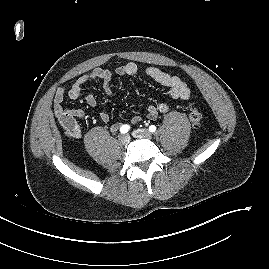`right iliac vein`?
Masks as SVG:
<instances>
[{"mask_svg": "<svg viewBox=\"0 0 269 269\" xmlns=\"http://www.w3.org/2000/svg\"><path fill=\"white\" fill-rule=\"evenodd\" d=\"M129 141H130V137H129V135H127V134L121 135V136L119 137V142H120L121 144H123V145L128 144Z\"/></svg>", "mask_w": 269, "mask_h": 269, "instance_id": "right-iliac-vein-1", "label": "right iliac vein"}]
</instances>
